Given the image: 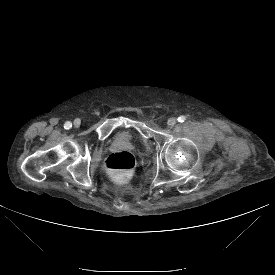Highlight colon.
I'll return each mask as SVG.
<instances>
[{
  "instance_id": "colon-1",
  "label": "colon",
  "mask_w": 275,
  "mask_h": 275,
  "mask_svg": "<svg viewBox=\"0 0 275 275\" xmlns=\"http://www.w3.org/2000/svg\"><path fill=\"white\" fill-rule=\"evenodd\" d=\"M134 166V156L128 151L114 152L105 159V168L115 173L121 181H126L131 177Z\"/></svg>"
}]
</instances>
